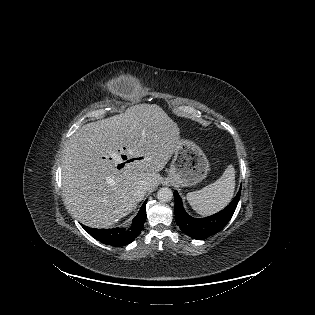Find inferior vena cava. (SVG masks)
Instances as JSON below:
<instances>
[{"label":"inferior vena cava","mask_w":315,"mask_h":315,"mask_svg":"<svg viewBox=\"0 0 315 315\" xmlns=\"http://www.w3.org/2000/svg\"><path fill=\"white\" fill-rule=\"evenodd\" d=\"M148 191V184L146 181H141L137 186V194L144 195Z\"/></svg>","instance_id":"obj_1"}]
</instances>
